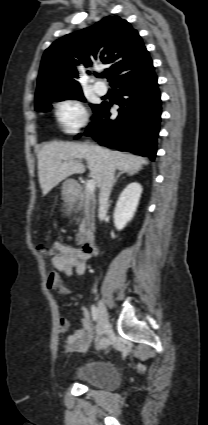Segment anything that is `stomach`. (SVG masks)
Segmentation results:
<instances>
[{
	"label": "stomach",
	"instance_id": "obj_1",
	"mask_svg": "<svg viewBox=\"0 0 208 425\" xmlns=\"http://www.w3.org/2000/svg\"><path fill=\"white\" fill-rule=\"evenodd\" d=\"M63 197L66 201H71L75 198L77 192V182L73 179H67L62 186Z\"/></svg>",
	"mask_w": 208,
	"mask_h": 425
}]
</instances>
